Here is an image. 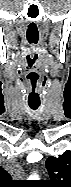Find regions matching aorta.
Listing matches in <instances>:
<instances>
[{"label": "aorta", "instance_id": "762f6f07", "mask_svg": "<svg viewBox=\"0 0 71 187\" xmlns=\"http://www.w3.org/2000/svg\"><path fill=\"white\" fill-rule=\"evenodd\" d=\"M30 178H32V179H38V176H37V174H34Z\"/></svg>", "mask_w": 71, "mask_h": 187}]
</instances>
